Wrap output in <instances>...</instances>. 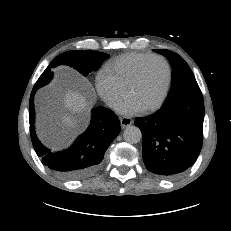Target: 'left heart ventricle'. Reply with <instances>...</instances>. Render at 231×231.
<instances>
[{
    "mask_svg": "<svg viewBox=\"0 0 231 231\" xmlns=\"http://www.w3.org/2000/svg\"><path fill=\"white\" fill-rule=\"evenodd\" d=\"M167 70L160 60L150 61L144 68L138 83L133 87L129 98L145 108L157 101L164 88Z\"/></svg>",
    "mask_w": 231,
    "mask_h": 231,
    "instance_id": "obj_1",
    "label": "left heart ventricle"
}]
</instances>
